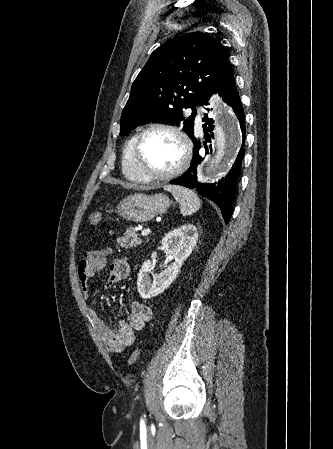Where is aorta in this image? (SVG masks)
Listing matches in <instances>:
<instances>
[{
    "instance_id": "762f6f07",
    "label": "aorta",
    "mask_w": 333,
    "mask_h": 449,
    "mask_svg": "<svg viewBox=\"0 0 333 449\" xmlns=\"http://www.w3.org/2000/svg\"><path fill=\"white\" fill-rule=\"evenodd\" d=\"M214 108L218 109V123L215 128V153L204 161L202 175L212 176L225 167L238 149L241 141L237 121L230 107L222 98L213 99Z\"/></svg>"
}]
</instances>
